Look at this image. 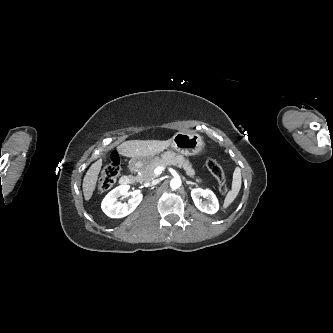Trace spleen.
<instances>
[{
	"label": "spleen",
	"instance_id": "obj_1",
	"mask_svg": "<svg viewBox=\"0 0 333 333\" xmlns=\"http://www.w3.org/2000/svg\"><path fill=\"white\" fill-rule=\"evenodd\" d=\"M241 169L239 167H236L233 173V181H232V187L231 190L227 193L225 199H224V204L223 207L227 208L229 207L234 200L236 199L240 188H241Z\"/></svg>",
	"mask_w": 333,
	"mask_h": 333
}]
</instances>
